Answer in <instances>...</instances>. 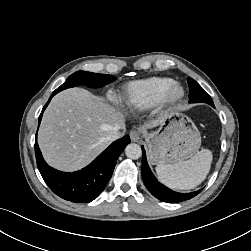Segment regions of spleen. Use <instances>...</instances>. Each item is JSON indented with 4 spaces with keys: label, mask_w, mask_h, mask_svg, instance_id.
Instances as JSON below:
<instances>
[{
    "label": "spleen",
    "mask_w": 251,
    "mask_h": 251,
    "mask_svg": "<svg viewBox=\"0 0 251 251\" xmlns=\"http://www.w3.org/2000/svg\"><path fill=\"white\" fill-rule=\"evenodd\" d=\"M212 152L203 149L191 159L175 164H158L156 173L163 184L172 189L188 190L201 184L211 168Z\"/></svg>",
    "instance_id": "spleen-1"
}]
</instances>
